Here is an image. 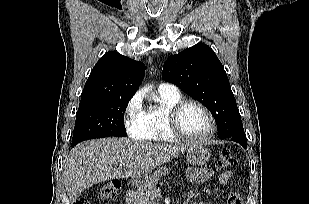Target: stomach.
<instances>
[{
	"mask_svg": "<svg viewBox=\"0 0 309 204\" xmlns=\"http://www.w3.org/2000/svg\"><path fill=\"white\" fill-rule=\"evenodd\" d=\"M211 153L210 150L203 144L201 143H196L191 145L187 149V160L188 163L192 166H201L205 164ZM148 174H144L141 176H136L133 178V181L136 185L140 186L148 177Z\"/></svg>",
	"mask_w": 309,
	"mask_h": 204,
	"instance_id": "1",
	"label": "stomach"
}]
</instances>
